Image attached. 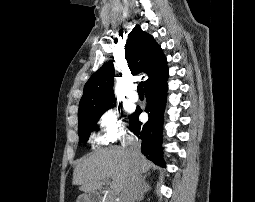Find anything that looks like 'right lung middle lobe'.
<instances>
[{"instance_id":"obj_1","label":"right lung middle lobe","mask_w":255,"mask_h":202,"mask_svg":"<svg viewBox=\"0 0 255 202\" xmlns=\"http://www.w3.org/2000/svg\"><path fill=\"white\" fill-rule=\"evenodd\" d=\"M110 107H112V105L78 114V133L82 142H86L89 139L90 132L94 129L96 122Z\"/></svg>"}]
</instances>
